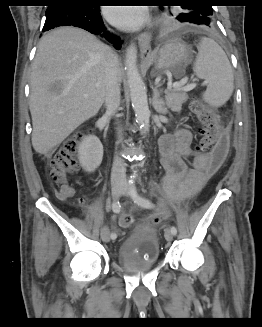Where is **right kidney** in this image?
<instances>
[{
	"label": "right kidney",
	"mask_w": 262,
	"mask_h": 327,
	"mask_svg": "<svg viewBox=\"0 0 262 327\" xmlns=\"http://www.w3.org/2000/svg\"><path fill=\"white\" fill-rule=\"evenodd\" d=\"M103 158V146L96 136H87L79 145V161L83 169L93 172L100 166Z\"/></svg>",
	"instance_id": "1"
}]
</instances>
